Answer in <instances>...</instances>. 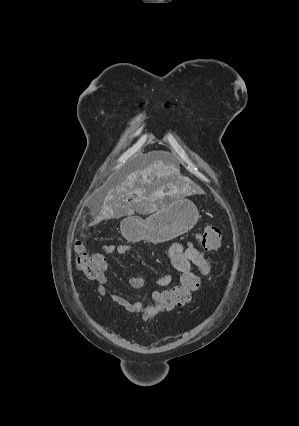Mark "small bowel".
<instances>
[{
	"instance_id": "obj_1",
	"label": "small bowel",
	"mask_w": 299,
	"mask_h": 426,
	"mask_svg": "<svg viewBox=\"0 0 299 426\" xmlns=\"http://www.w3.org/2000/svg\"><path fill=\"white\" fill-rule=\"evenodd\" d=\"M131 249L132 246L129 244H112L105 247L104 253L105 255H110L113 253L125 254ZM168 254L173 267L181 273L186 272L192 267L196 268L203 276H206L210 273L209 262L194 247H184L180 243H173L169 248ZM103 259L102 271L94 279L97 284L98 293L101 296H106L107 292L105 286L108 282V261L105 257ZM172 280L173 276L171 274H166L158 278H144L137 276L129 279V285L134 289H140L147 283H152L158 287H167L172 283ZM109 298L112 302L124 307L128 313H142L144 320L152 319L158 313L162 312V309L153 303H143L141 296L127 299L117 294H110Z\"/></svg>"
}]
</instances>
